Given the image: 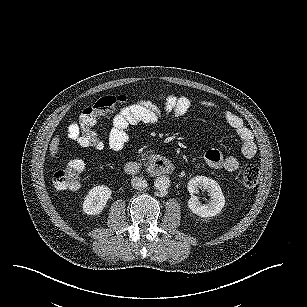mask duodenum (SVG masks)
Instances as JSON below:
<instances>
[{"label": "duodenum", "instance_id": "duodenum-1", "mask_svg": "<svg viewBox=\"0 0 307 307\" xmlns=\"http://www.w3.org/2000/svg\"><path fill=\"white\" fill-rule=\"evenodd\" d=\"M143 170L150 176L169 174L174 170L173 164L161 156H153L146 163L128 161L124 165V171L130 176H136Z\"/></svg>", "mask_w": 307, "mask_h": 307}]
</instances>
